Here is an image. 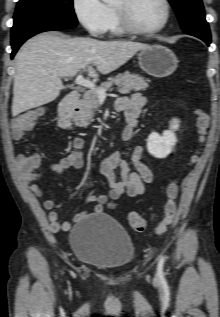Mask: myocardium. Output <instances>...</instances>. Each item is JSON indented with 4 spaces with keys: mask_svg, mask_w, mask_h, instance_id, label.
<instances>
[{
    "mask_svg": "<svg viewBox=\"0 0 220 317\" xmlns=\"http://www.w3.org/2000/svg\"><path fill=\"white\" fill-rule=\"evenodd\" d=\"M132 0H123L125 4H129ZM165 9V16L160 25L155 28L142 30L133 25L125 7L113 6V11L120 29L129 35L142 37L151 36L161 32L169 23L172 14V6L169 0H161Z\"/></svg>",
    "mask_w": 220,
    "mask_h": 317,
    "instance_id": "myocardium-1",
    "label": "myocardium"
}]
</instances>
